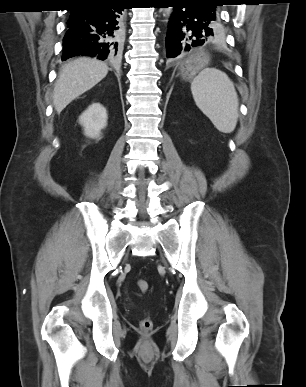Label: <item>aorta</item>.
Instances as JSON below:
<instances>
[{
	"label": "aorta",
	"instance_id": "aorta-1",
	"mask_svg": "<svg viewBox=\"0 0 306 387\" xmlns=\"http://www.w3.org/2000/svg\"><path fill=\"white\" fill-rule=\"evenodd\" d=\"M164 12L166 15L169 16L173 12V8L172 7L164 8Z\"/></svg>",
	"mask_w": 306,
	"mask_h": 387
}]
</instances>
